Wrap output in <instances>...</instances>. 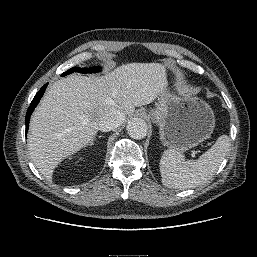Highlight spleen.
Returning <instances> with one entry per match:
<instances>
[{
    "instance_id": "obj_1",
    "label": "spleen",
    "mask_w": 257,
    "mask_h": 257,
    "mask_svg": "<svg viewBox=\"0 0 257 257\" xmlns=\"http://www.w3.org/2000/svg\"><path fill=\"white\" fill-rule=\"evenodd\" d=\"M229 146L230 138L221 135L198 160L189 161H186L178 151L172 149L164 151L159 165L163 185L189 189L206 183L218 170Z\"/></svg>"
}]
</instances>
